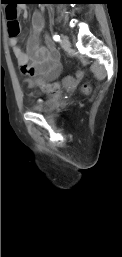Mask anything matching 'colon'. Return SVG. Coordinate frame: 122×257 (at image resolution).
<instances>
[{"mask_svg":"<svg viewBox=\"0 0 122 257\" xmlns=\"http://www.w3.org/2000/svg\"><path fill=\"white\" fill-rule=\"evenodd\" d=\"M4 10H7V19H8V31L11 37L18 36L20 32V25L17 20V12L18 5H4ZM77 79H84V71L83 70H76ZM42 89H46V92H55L59 89L58 83L53 84H40ZM89 87L85 86L84 91H88ZM31 94H40V89H31Z\"/></svg>","mask_w":122,"mask_h":257,"instance_id":"5ec220e1","label":"colon"}]
</instances>
